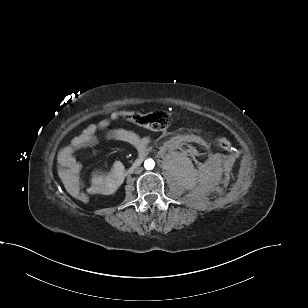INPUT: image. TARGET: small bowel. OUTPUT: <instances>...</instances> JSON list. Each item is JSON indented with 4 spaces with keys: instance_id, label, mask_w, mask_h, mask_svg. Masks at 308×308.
Wrapping results in <instances>:
<instances>
[{
    "instance_id": "1",
    "label": "small bowel",
    "mask_w": 308,
    "mask_h": 308,
    "mask_svg": "<svg viewBox=\"0 0 308 308\" xmlns=\"http://www.w3.org/2000/svg\"><path fill=\"white\" fill-rule=\"evenodd\" d=\"M120 117V113L114 111L108 118L101 119L97 123L89 124L78 136L63 147L58 153V162L62 168V175L66 183L68 192L75 195L83 190L80 180V162L74 155V151L81 147L91 146L97 141V131L107 129L113 121ZM110 139L127 143L139 150H143L150 142L149 137H142L134 131L116 128L108 131ZM124 165L117 161L113 164L108 173H95L92 175L89 185L85 191L89 195H110L114 193L124 179Z\"/></svg>"
}]
</instances>
